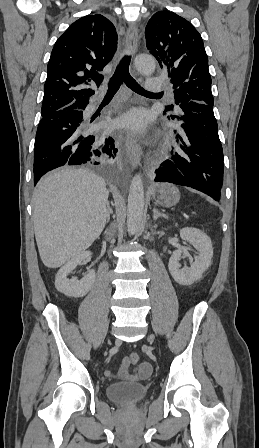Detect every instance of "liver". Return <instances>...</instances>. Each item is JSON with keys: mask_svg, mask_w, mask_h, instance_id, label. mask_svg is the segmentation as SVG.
<instances>
[{"mask_svg": "<svg viewBox=\"0 0 259 448\" xmlns=\"http://www.w3.org/2000/svg\"><path fill=\"white\" fill-rule=\"evenodd\" d=\"M105 180L65 168L38 182L32 196L34 234L47 268H60L92 246L107 220Z\"/></svg>", "mask_w": 259, "mask_h": 448, "instance_id": "1", "label": "liver"}]
</instances>
